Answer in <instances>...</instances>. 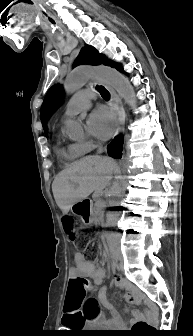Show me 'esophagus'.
Segmentation results:
<instances>
[{
    "label": "esophagus",
    "mask_w": 193,
    "mask_h": 336,
    "mask_svg": "<svg viewBox=\"0 0 193 336\" xmlns=\"http://www.w3.org/2000/svg\"><path fill=\"white\" fill-rule=\"evenodd\" d=\"M99 84L104 86L108 92L110 93L111 100L110 104L112 108L114 109L115 116H116V131L115 136L119 135L124 130V124H125V111L123 108V104L121 101V98L116 93V91L109 85L105 84L104 82L97 81Z\"/></svg>",
    "instance_id": "1"
}]
</instances>
